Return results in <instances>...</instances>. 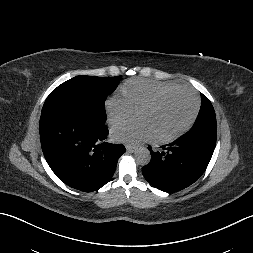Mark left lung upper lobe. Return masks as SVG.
<instances>
[{
	"instance_id": "5c2ea615",
	"label": "left lung upper lobe",
	"mask_w": 253,
	"mask_h": 253,
	"mask_svg": "<svg viewBox=\"0 0 253 253\" xmlns=\"http://www.w3.org/2000/svg\"><path fill=\"white\" fill-rule=\"evenodd\" d=\"M202 105L193 127L182 136H200L216 143V116L211 102L201 94Z\"/></svg>"
}]
</instances>
